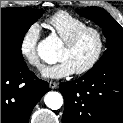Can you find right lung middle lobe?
Masks as SVG:
<instances>
[{
    "label": "right lung middle lobe",
    "instance_id": "1",
    "mask_svg": "<svg viewBox=\"0 0 123 123\" xmlns=\"http://www.w3.org/2000/svg\"><path fill=\"white\" fill-rule=\"evenodd\" d=\"M42 14V9L1 8V57L24 61L21 52L24 35Z\"/></svg>",
    "mask_w": 123,
    "mask_h": 123
}]
</instances>
